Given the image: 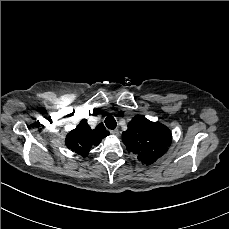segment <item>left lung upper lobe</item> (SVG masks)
I'll return each instance as SVG.
<instances>
[{
	"mask_svg": "<svg viewBox=\"0 0 229 229\" xmlns=\"http://www.w3.org/2000/svg\"><path fill=\"white\" fill-rule=\"evenodd\" d=\"M122 140L128 152L135 154L144 164L151 165L167 152L172 135L165 125L137 115L122 133Z\"/></svg>",
	"mask_w": 229,
	"mask_h": 229,
	"instance_id": "left-lung-upper-lobe-1",
	"label": "left lung upper lobe"
}]
</instances>
